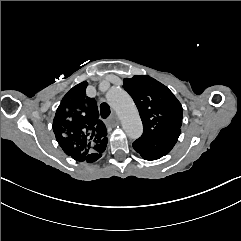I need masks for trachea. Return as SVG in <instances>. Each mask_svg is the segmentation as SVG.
<instances>
[{
    "label": "trachea",
    "instance_id": "obj_1",
    "mask_svg": "<svg viewBox=\"0 0 241 241\" xmlns=\"http://www.w3.org/2000/svg\"><path fill=\"white\" fill-rule=\"evenodd\" d=\"M111 111H110V107L107 103L103 102L101 105H100V114H101V117L103 119H107L110 115Z\"/></svg>",
    "mask_w": 241,
    "mask_h": 241
}]
</instances>
